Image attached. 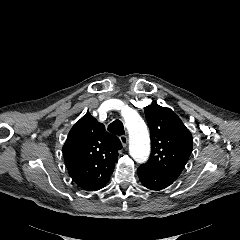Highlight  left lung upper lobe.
<instances>
[{
    "instance_id": "1",
    "label": "left lung upper lobe",
    "mask_w": 240,
    "mask_h": 240,
    "mask_svg": "<svg viewBox=\"0 0 240 240\" xmlns=\"http://www.w3.org/2000/svg\"><path fill=\"white\" fill-rule=\"evenodd\" d=\"M144 110L152 148L146 165L175 181L192 152V135L170 108L152 104Z\"/></svg>"
}]
</instances>
